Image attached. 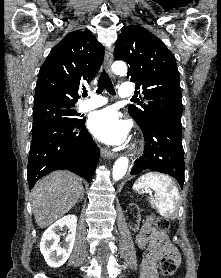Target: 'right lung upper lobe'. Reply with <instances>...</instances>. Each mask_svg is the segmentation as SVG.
Segmentation results:
<instances>
[{
  "label": "right lung upper lobe",
  "mask_w": 221,
  "mask_h": 278,
  "mask_svg": "<svg viewBox=\"0 0 221 278\" xmlns=\"http://www.w3.org/2000/svg\"><path fill=\"white\" fill-rule=\"evenodd\" d=\"M104 58V47L89 30L67 34L39 71L34 105L48 101L76 103L83 82L90 83Z\"/></svg>",
  "instance_id": "1"
}]
</instances>
